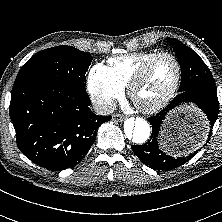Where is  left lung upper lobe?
Instances as JSON below:
<instances>
[{
    "instance_id": "5c2ea615",
    "label": "left lung upper lobe",
    "mask_w": 222,
    "mask_h": 222,
    "mask_svg": "<svg viewBox=\"0 0 222 222\" xmlns=\"http://www.w3.org/2000/svg\"><path fill=\"white\" fill-rule=\"evenodd\" d=\"M169 45L174 49L181 66V85L179 91L202 88L216 91L212 74L200 56L182 42L168 38Z\"/></svg>"
}]
</instances>
